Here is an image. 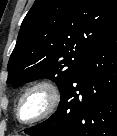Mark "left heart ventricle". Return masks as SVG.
Listing matches in <instances>:
<instances>
[{"label": "left heart ventricle", "mask_w": 117, "mask_h": 136, "mask_svg": "<svg viewBox=\"0 0 117 136\" xmlns=\"http://www.w3.org/2000/svg\"><path fill=\"white\" fill-rule=\"evenodd\" d=\"M47 104V96L42 91L30 93L23 101L20 108V116L28 120L41 113Z\"/></svg>", "instance_id": "obj_1"}]
</instances>
